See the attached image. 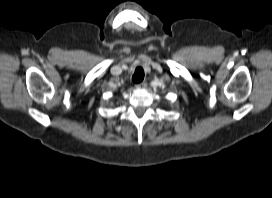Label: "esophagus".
Here are the masks:
<instances>
[{"label": "esophagus", "mask_w": 272, "mask_h": 198, "mask_svg": "<svg viewBox=\"0 0 272 198\" xmlns=\"http://www.w3.org/2000/svg\"><path fill=\"white\" fill-rule=\"evenodd\" d=\"M145 87H146V83L145 82H142V83L136 85L137 89H142V88H145Z\"/></svg>", "instance_id": "esophagus-1"}]
</instances>
